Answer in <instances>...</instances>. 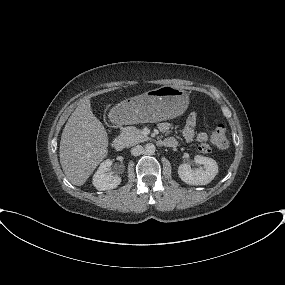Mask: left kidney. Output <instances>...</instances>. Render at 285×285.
Listing matches in <instances>:
<instances>
[{
  "label": "left kidney",
  "instance_id": "1",
  "mask_svg": "<svg viewBox=\"0 0 285 285\" xmlns=\"http://www.w3.org/2000/svg\"><path fill=\"white\" fill-rule=\"evenodd\" d=\"M194 161L197 164L204 165V169L192 170L189 164H181L178 167L180 179L189 185H206L210 183L218 173L216 161L200 155H196Z\"/></svg>",
  "mask_w": 285,
  "mask_h": 285
}]
</instances>
